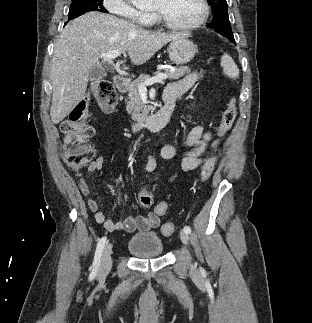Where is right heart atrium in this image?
Wrapping results in <instances>:
<instances>
[{
  "instance_id": "1",
  "label": "right heart atrium",
  "mask_w": 312,
  "mask_h": 323,
  "mask_svg": "<svg viewBox=\"0 0 312 323\" xmlns=\"http://www.w3.org/2000/svg\"><path fill=\"white\" fill-rule=\"evenodd\" d=\"M104 8L105 13H119L121 17H125V22H143L145 15L144 10L140 6H135V2L129 0H107Z\"/></svg>"
}]
</instances>
